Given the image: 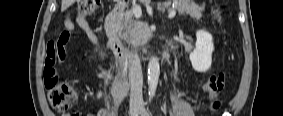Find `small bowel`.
<instances>
[{
	"label": "small bowel",
	"instance_id": "small-bowel-1",
	"mask_svg": "<svg viewBox=\"0 0 283 116\" xmlns=\"http://www.w3.org/2000/svg\"><path fill=\"white\" fill-rule=\"evenodd\" d=\"M64 25L67 29L68 35L71 32L75 31L76 26L82 28L88 35L89 39L93 44H98V40L86 21L83 17L77 16L75 19H72L69 15L66 17L64 21ZM65 44L60 39L57 43H50L47 46V54L45 57V67H44V75L49 77H54L56 75L55 66H62L66 59V51ZM108 111L106 108H101L97 112V116H107Z\"/></svg>",
	"mask_w": 283,
	"mask_h": 116
}]
</instances>
